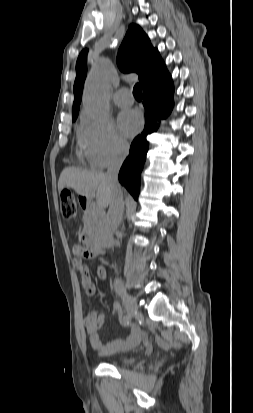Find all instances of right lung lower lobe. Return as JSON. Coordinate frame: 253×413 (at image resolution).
Wrapping results in <instances>:
<instances>
[{
    "mask_svg": "<svg viewBox=\"0 0 253 413\" xmlns=\"http://www.w3.org/2000/svg\"><path fill=\"white\" fill-rule=\"evenodd\" d=\"M143 89L145 127L143 132L133 140L129 156L119 172L120 183L127 188L135 199L138 198L140 174L149 147L146 136L158 129L157 121L166 118L173 108L174 86L170 76L151 80Z\"/></svg>",
    "mask_w": 253,
    "mask_h": 413,
    "instance_id": "1",
    "label": "right lung lower lobe"
}]
</instances>
